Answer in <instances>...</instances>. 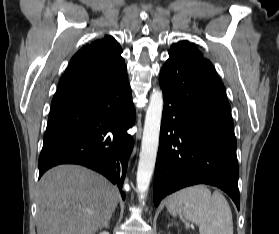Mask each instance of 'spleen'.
<instances>
[{
  "instance_id": "3e777b00",
  "label": "spleen",
  "mask_w": 279,
  "mask_h": 234,
  "mask_svg": "<svg viewBox=\"0 0 279 234\" xmlns=\"http://www.w3.org/2000/svg\"><path fill=\"white\" fill-rule=\"evenodd\" d=\"M170 214L179 213L199 226L200 234H233V219L226 198L218 191L211 195L205 185L182 189L168 197Z\"/></svg>"
}]
</instances>
